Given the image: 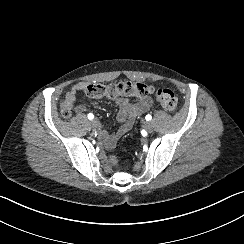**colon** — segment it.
<instances>
[{
    "mask_svg": "<svg viewBox=\"0 0 244 244\" xmlns=\"http://www.w3.org/2000/svg\"><path fill=\"white\" fill-rule=\"evenodd\" d=\"M83 94L91 99L108 98L111 99L117 95H127L132 98H141L147 94H152L157 102L166 110L173 112L177 107V98L175 94L166 88L152 87L139 82L121 80L111 84L92 82L83 90ZM61 113L64 117H70L72 114V103L70 100L63 103Z\"/></svg>",
    "mask_w": 244,
    "mask_h": 244,
    "instance_id": "colon-1",
    "label": "colon"
}]
</instances>
